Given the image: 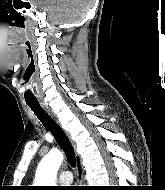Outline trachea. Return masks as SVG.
Returning <instances> with one entry per match:
<instances>
[{
	"label": "trachea",
	"mask_w": 165,
	"mask_h": 190,
	"mask_svg": "<svg viewBox=\"0 0 165 190\" xmlns=\"http://www.w3.org/2000/svg\"><path fill=\"white\" fill-rule=\"evenodd\" d=\"M28 105L34 111L37 117L41 120L43 125L52 133L58 145L65 152L68 163L72 167H75L76 165L75 153L64 131L59 127V125L51 117H49L43 111L39 103H28Z\"/></svg>",
	"instance_id": "obj_1"
}]
</instances>
